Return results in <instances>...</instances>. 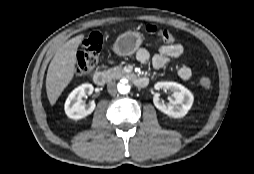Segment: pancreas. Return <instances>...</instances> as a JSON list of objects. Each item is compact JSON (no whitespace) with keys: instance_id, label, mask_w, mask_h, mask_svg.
<instances>
[{"instance_id":"1","label":"pancreas","mask_w":254,"mask_h":174,"mask_svg":"<svg viewBox=\"0 0 254 174\" xmlns=\"http://www.w3.org/2000/svg\"><path fill=\"white\" fill-rule=\"evenodd\" d=\"M106 74L111 79L121 78L126 75L125 71L121 68H110L106 71Z\"/></svg>"}]
</instances>
